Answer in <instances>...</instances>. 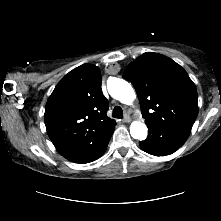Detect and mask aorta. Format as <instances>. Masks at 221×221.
<instances>
[{
    "label": "aorta",
    "mask_w": 221,
    "mask_h": 221,
    "mask_svg": "<svg viewBox=\"0 0 221 221\" xmlns=\"http://www.w3.org/2000/svg\"><path fill=\"white\" fill-rule=\"evenodd\" d=\"M108 91L111 97L123 104H131L135 98V92L132 86L123 79L115 78L108 85ZM147 126L144 122L134 121L130 126V134L134 139L145 140L147 138Z\"/></svg>",
    "instance_id": "762f6f07"
}]
</instances>
